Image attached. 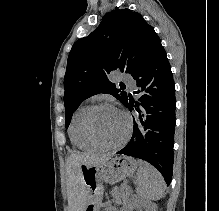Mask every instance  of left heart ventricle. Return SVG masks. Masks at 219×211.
Masks as SVG:
<instances>
[{"label":"left heart ventricle","instance_id":"1","mask_svg":"<svg viewBox=\"0 0 219 211\" xmlns=\"http://www.w3.org/2000/svg\"><path fill=\"white\" fill-rule=\"evenodd\" d=\"M126 120L115 109L104 107L96 111L93 128L96 135L106 143L118 142L126 131Z\"/></svg>","mask_w":219,"mask_h":211}]
</instances>
